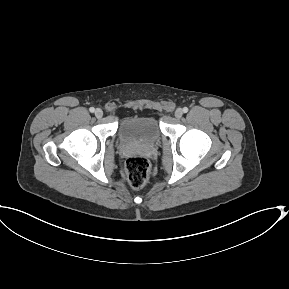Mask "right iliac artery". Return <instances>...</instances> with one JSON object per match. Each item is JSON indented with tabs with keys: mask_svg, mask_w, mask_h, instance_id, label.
<instances>
[{
	"mask_svg": "<svg viewBox=\"0 0 289 289\" xmlns=\"http://www.w3.org/2000/svg\"><path fill=\"white\" fill-rule=\"evenodd\" d=\"M89 111H90L91 113H93V112L95 111V108H94V107H91V108L89 109Z\"/></svg>",
	"mask_w": 289,
	"mask_h": 289,
	"instance_id": "right-iliac-artery-1",
	"label": "right iliac artery"
}]
</instances>
